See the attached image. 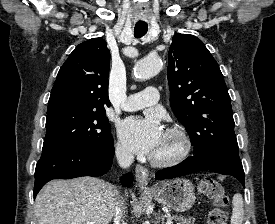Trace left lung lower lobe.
<instances>
[{"label": "left lung lower lobe", "mask_w": 275, "mask_h": 224, "mask_svg": "<svg viewBox=\"0 0 275 224\" xmlns=\"http://www.w3.org/2000/svg\"><path fill=\"white\" fill-rule=\"evenodd\" d=\"M203 170L231 175L245 187L244 170L239 156L197 157L194 155L176 166L159 170L155 176L158 180H164Z\"/></svg>", "instance_id": "1"}]
</instances>
